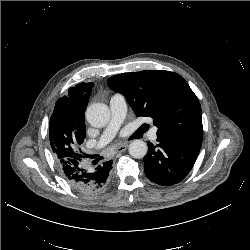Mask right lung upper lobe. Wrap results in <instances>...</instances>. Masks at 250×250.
Returning <instances> with one entry per match:
<instances>
[{
    "label": "right lung upper lobe",
    "instance_id": "cb5924a9",
    "mask_svg": "<svg viewBox=\"0 0 250 250\" xmlns=\"http://www.w3.org/2000/svg\"><path fill=\"white\" fill-rule=\"evenodd\" d=\"M92 87V82L79 83L69 88L66 96L58 99L50 118V132L55 131L67 137H74L76 133L85 131L84 112Z\"/></svg>",
    "mask_w": 250,
    "mask_h": 250
}]
</instances>
